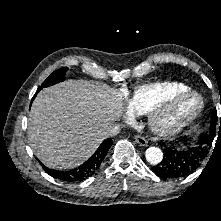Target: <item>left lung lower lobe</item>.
Here are the masks:
<instances>
[{
  "instance_id": "0a47b994",
  "label": "left lung lower lobe",
  "mask_w": 221,
  "mask_h": 221,
  "mask_svg": "<svg viewBox=\"0 0 221 221\" xmlns=\"http://www.w3.org/2000/svg\"><path fill=\"white\" fill-rule=\"evenodd\" d=\"M204 149L198 146L177 150L167 147L162 161L152 167V171L163 179L183 178L193 173L204 160ZM208 154V153H207Z\"/></svg>"
}]
</instances>
